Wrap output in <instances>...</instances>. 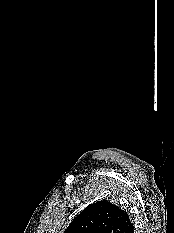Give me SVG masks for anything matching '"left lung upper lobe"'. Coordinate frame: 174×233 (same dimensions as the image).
Instances as JSON below:
<instances>
[{
  "mask_svg": "<svg viewBox=\"0 0 174 233\" xmlns=\"http://www.w3.org/2000/svg\"><path fill=\"white\" fill-rule=\"evenodd\" d=\"M131 224L126 211L103 200L81 211L64 233H123Z\"/></svg>",
  "mask_w": 174,
  "mask_h": 233,
  "instance_id": "5c2ea615",
  "label": "left lung upper lobe"
}]
</instances>
